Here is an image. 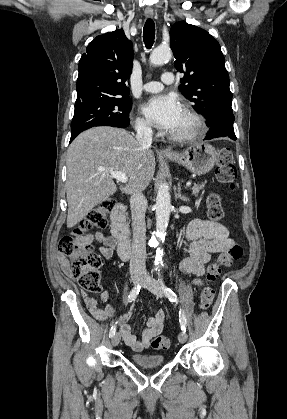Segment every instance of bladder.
<instances>
[{
    "instance_id": "bladder-1",
    "label": "bladder",
    "mask_w": 287,
    "mask_h": 419,
    "mask_svg": "<svg viewBox=\"0 0 287 419\" xmlns=\"http://www.w3.org/2000/svg\"><path fill=\"white\" fill-rule=\"evenodd\" d=\"M131 360L136 365L143 368H156L164 363V357L148 354H133Z\"/></svg>"
}]
</instances>
